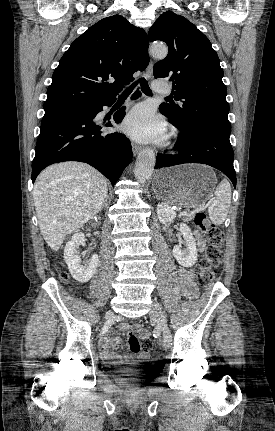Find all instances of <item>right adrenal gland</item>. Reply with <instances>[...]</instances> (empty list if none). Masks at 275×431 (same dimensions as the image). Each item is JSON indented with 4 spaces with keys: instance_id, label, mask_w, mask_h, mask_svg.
I'll use <instances>...</instances> for the list:
<instances>
[{
    "instance_id": "right-adrenal-gland-1",
    "label": "right adrenal gland",
    "mask_w": 275,
    "mask_h": 431,
    "mask_svg": "<svg viewBox=\"0 0 275 431\" xmlns=\"http://www.w3.org/2000/svg\"><path fill=\"white\" fill-rule=\"evenodd\" d=\"M107 200H108V196L106 197V199H105V201H104V203H103V206H105V207L107 206ZM103 206H102V207H103Z\"/></svg>"
}]
</instances>
